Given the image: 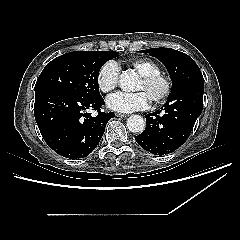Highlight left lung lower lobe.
<instances>
[{"mask_svg": "<svg viewBox=\"0 0 240 240\" xmlns=\"http://www.w3.org/2000/svg\"><path fill=\"white\" fill-rule=\"evenodd\" d=\"M203 91L204 82H195L170 94L161 110L146 115V129L136 142L154 155L178 149L202 112Z\"/></svg>", "mask_w": 240, "mask_h": 240, "instance_id": "1", "label": "left lung lower lobe"}]
</instances>
